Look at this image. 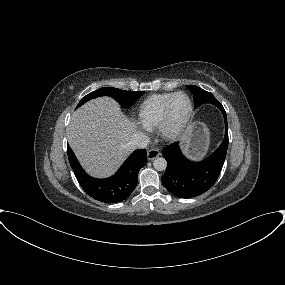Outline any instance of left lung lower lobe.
I'll return each instance as SVG.
<instances>
[{
	"mask_svg": "<svg viewBox=\"0 0 285 285\" xmlns=\"http://www.w3.org/2000/svg\"><path fill=\"white\" fill-rule=\"evenodd\" d=\"M223 113L225 120V137L219 148L206 160L193 162L185 158L178 143L163 148L167 160L162 184L175 196L191 198L209 190L216 182L223 167L228 147L227 116L223 106L216 105Z\"/></svg>",
	"mask_w": 285,
	"mask_h": 285,
	"instance_id": "0a47b994",
	"label": "left lung lower lobe"
}]
</instances>
